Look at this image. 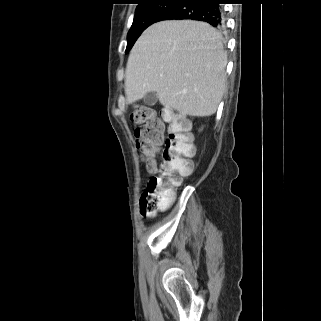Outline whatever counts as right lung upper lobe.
<instances>
[{"label":"right lung upper lobe","instance_id":"cb5924a9","mask_svg":"<svg viewBox=\"0 0 321 321\" xmlns=\"http://www.w3.org/2000/svg\"><path fill=\"white\" fill-rule=\"evenodd\" d=\"M139 1V5H142V4H144V3H146V2H149V1H152V0H138ZM177 2H181V1H183V0H176Z\"/></svg>","mask_w":321,"mask_h":321}]
</instances>
